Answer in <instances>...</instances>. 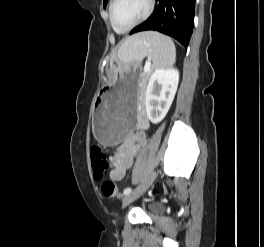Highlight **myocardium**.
I'll list each match as a JSON object with an SVG mask.
<instances>
[{
	"label": "myocardium",
	"mask_w": 264,
	"mask_h": 247,
	"mask_svg": "<svg viewBox=\"0 0 264 247\" xmlns=\"http://www.w3.org/2000/svg\"><path fill=\"white\" fill-rule=\"evenodd\" d=\"M117 2H118V0H112L111 5L109 7V17H110V22H111L112 27L116 31L121 32V33L128 32V31L134 29L135 27L139 26L143 22H145L151 16V14L154 11V7H155L154 0H147V10H146L145 14L139 20H137L136 22H134L130 26L122 28L116 24L115 18H114V11H115V6H116Z\"/></svg>",
	"instance_id": "f54148a6"
}]
</instances>
